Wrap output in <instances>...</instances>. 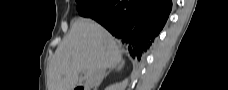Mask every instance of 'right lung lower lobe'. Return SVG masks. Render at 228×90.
<instances>
[{
    "mask_svg": "<svg viewBox=\"0 0 228 90\" xmlns=\"http://www.w3.org/2000/svg\"><path fill=\"white\" fill-rule=\"evenodd\" d=\"M107 1L92 19L120 39L133 58L140 60L165 25L171 0Z\"/></svg>",
    "mask_w": 228,
    "mask_h": 90,
    "instance_id": "1",
    "label": "right lung lower lobe"
}]
</instances>
